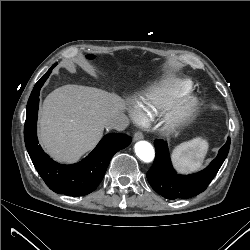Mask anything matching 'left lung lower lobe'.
Listing matches in <instances>:
<instances>
[{
    "label": "left lung lower lobe",
    "mask_w": 250,
    "mask_h": 250,
    "mask_svg": "<svg viewBox=\"0 0 250 250\" xmlns=\"http://www.w3.org/2000/svg\"><path fill=\"white\" fill-rule=\"evenodd\" d=\"M156 157L147 179L151 187L167 199L189 198L203 192L213 180L223 164L230 148V138L219 150L217 157L204 170L191 174L179 175L172 168L166 142L156 140Z\"/></svg>",
    "instance_id": "1"
}]
</instances>
